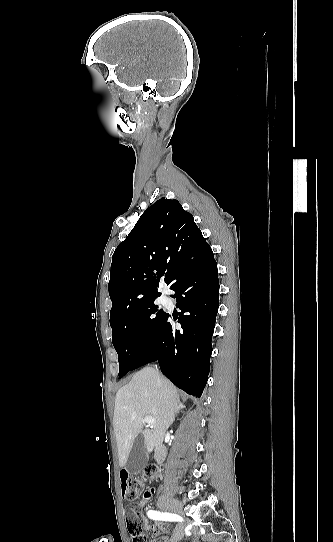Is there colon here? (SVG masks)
<instances>
[{
  "label": "colon",
  "mask_w": 333,
  "mask_h": 542,
  "mask_svg": "<svg viewBox=\"0 0 333 542\" xmlns=\"http://www.w3.org/2000/svg\"><path fill=\"white\" fill-rule=\"evenodd\" d=\"M158 468L156 465H148L144 468L141 476L129 474V487L126 489L125 497L131 501L143 500L145 496V481L154 479L157 475ZM125 512L128 513V529L132 535L133 542H148L147 536L143 532L140 520L139 506L137 502H126L124 506Z\"/></svg>",
  "instance_id": "obj_1"
}]
</instances>
